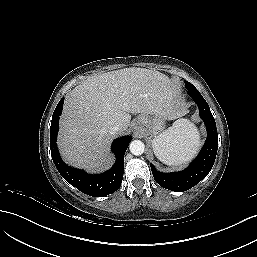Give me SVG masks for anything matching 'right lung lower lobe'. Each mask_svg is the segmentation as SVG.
<instances>
[{
    "mask_svg": "<svg viewBox=\"0 0 257 257\" xmlns=\"http://www.w3.org/2000/svg\"><path fill=\"white\" fill-rule=\"evenodd\" d=\"M63 103L64 98L59 101L54 110L50 127L51 156L57 170L68 183L87 195L102 197L115 192L121 186L124 172V154L132 137L124 136L113 141L112 151L116 155V162L110 170L91 175L83 170L71 168L61 160L56 144L59 116L62 113Z\"/></svg>",
    "mask_w": 257,
    "mask_h": 257,
    "instance_id": "98d812e1",
    "label": "right lung lower lobe"
}]
</instances>
